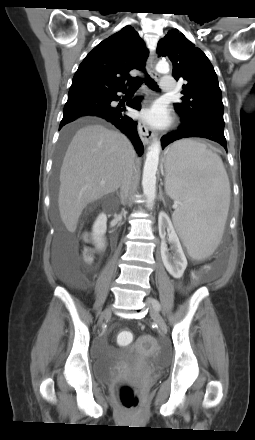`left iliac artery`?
Instances as JSON below:
<instances>
[{
  "instance_id": "obj_1",
  "label": "left iliac artery",
  "mask_w": 255,
  "mask_h": 440,
  "mask_svg": "<svg viewBox=\"0 0 255 440\" xmlns=\"http://www.w3.org/2000/svg\"><path fill=\"white\" fill-rule=\"evenodd\" d=\"M152 304L154 305V307L159 311L160 310V304L157 300L155 299H151Z\"/></svg>"
}]
</instances>
